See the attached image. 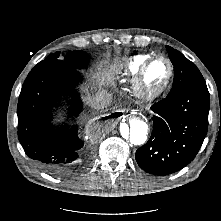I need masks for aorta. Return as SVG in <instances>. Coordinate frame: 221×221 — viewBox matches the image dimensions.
I'll return each instance as SVG.
<instances>
[{
    "mask_svg": "<svg viewBox=\"0 0 221 221\" xmlns=\"http://www.w3.org/2000/svg\"><path fill=\"white\" fill-rule=\"evenodd\" d=\"M149 126L141 116H131L126 122L120 125L119 135L125 142L133 145H142L147 140Z\"/></svg>",
    "mask_w": 221,
    "mask_h": 221,
    "instance_id": "762f6f07",
    "label": "aorta"
}]
</instances>
